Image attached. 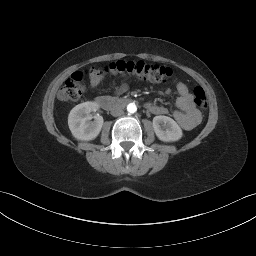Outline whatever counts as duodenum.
<instances>
[{
	"label": "duodenum",
	"mask_w": 256,
	"mask_h": 256,
	"mask_svg": "<svg viewBox=\"0 0 256 256\" xmlns=\"http://www.w3.org/2000/svg\"><path fill=\"white\" fill-rule=\"evenodd\" d=\"M134 100L131 98H112L108 96H99L96 99V102L105 110H112L116 107H123L130 103H132Z\"/></svg>",
	"instance_id": "duodenum-1"
}]
</instances>
